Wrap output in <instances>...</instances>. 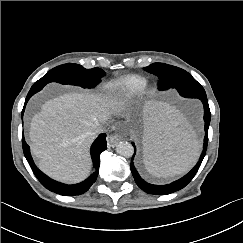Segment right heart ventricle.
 <instances>
[{
	"label": "right heart ventricle",
	"mask_w": 243,
	"mask_h": 243,
	"mask_svg": "<svg viewBox=\"0 0 243 243\" xmlns=\"http://www.w3.org/2000/svg\"><path fill=\"white\" fill-rule=\"evenodd\" d=\"M147 86V80L138 75L124 76L109 85L125 99H130L140 94Z\"/></svg>",
	"instance_id": "right-heart-ventricle-1"
}]
</instances>
